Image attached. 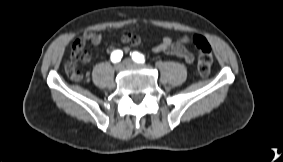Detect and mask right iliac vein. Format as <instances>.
<instances>
[{"instance_id": "63e3f726", "label": "right iliac vein", "mask_w": 283, "mask_h": 162, "mask_svg": "<svg viewBox=\"0 0 283 162\" xmlns=\"http://www.w3.org/2000/svg\"><path fill=\"white\" fill-rule=\"evenodd\" d=\"M124 68V63H118L115 65L116 71H121Z\"/></svg>"}]
</instances>
